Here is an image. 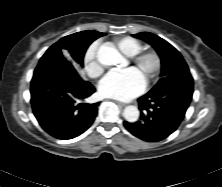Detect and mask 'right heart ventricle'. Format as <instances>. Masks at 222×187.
<instances>
[{"label": "right heart ventricle", "instance_id": "obj_1", "mask_svg": "<svg viewBox=\"0 0 222 187\" xmlns=\"http://www.w3.org/2000/svg\"><path fill=\"white\" fill-rule=\"evenodd\" d=\"M115 43L120 51L129 57L135 55L143 48L139 40L129 36L118 38L115 40Z\"/></svg>", "mask_w": 222, "mask_h": 187}]
</instances>
